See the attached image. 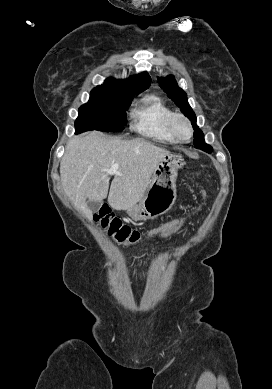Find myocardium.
I'll list each match as a JSON object with an SVG mask.
<instances>
[{
    "mask_svg": "<svg viewBox=\"0 0 272 389\" xmlns=\"http://www.w3.org/2000/svg\"><path fill=\"white\" fill-rule=\"evenodd\" d=\"M183 122L188 129V136L183 137L177 131V123ZM169 129L173 137L179 142H188L193 136V127L190 120L182 113H173L169 119Z\"/></svg>",
    "mask_w": 272,
    "mask_h": 389,
    "instance_id": "1",
    "label": "myocardium"
}]
</instances>
